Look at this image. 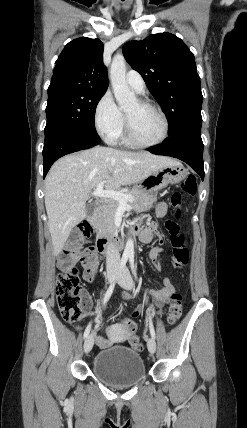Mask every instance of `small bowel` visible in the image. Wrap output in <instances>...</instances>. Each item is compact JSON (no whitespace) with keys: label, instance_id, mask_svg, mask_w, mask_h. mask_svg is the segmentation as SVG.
<instances>
[{"label":"small bowel","instance_id":"c3829d8e","mask_svg":"<svg viewBox=\"0 0 247 428\" xmlns=\"http://www.w3.org/2000/svg\"><path fill=\"white\" fill-rule=\"evenodd\" d=\"M166 213H167V204L166 203L158 204L156 207L157 216L158 217H164L166 215ZM140 220L147 222V225L144 228H142V231L139 234V238L142 242H145V243L150 242L152 240L153 231L155 229V226L152 223L148 222V220L146 218H141ZM162 251H163L162 247H159V246L153 247L149 252V260L150 261H156V260L159 261ZM87 256H91V257L95 258L93 248L87 249L83 252L82 258H81L83 266H84V258ZM93 276H94V273L91 272L89 269H87L84 266L83 278L87 281H91L93 279ZM173 292H174V286L168 277H165L163 279L162 287L159 290H148L147 291V293L152 298H154L156 301L159 299H164L165 302L168 301L169 297L171 296V294ZM122 299L125 300L126 297H123ZM84 308H85L86 312L90 311L91 300L88 297H85ZM134 324H136V323L134 322ZM124 325H125V323L123 322V326ZM129 334L130 333H128V337H130ZM129 340H130V338H129ZM95 342L100 348H106V347H109L110 345H112L113 340L112 339H106L101 335H95Z\"/></svg>","mask_w":247,"mask_h":428}]
</instances>
